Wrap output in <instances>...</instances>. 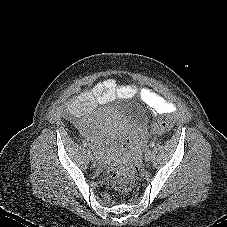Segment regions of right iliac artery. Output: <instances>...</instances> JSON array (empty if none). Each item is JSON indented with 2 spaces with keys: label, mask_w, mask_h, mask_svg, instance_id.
<instances>
[{
  "label": "right iliac artery",
  "mask_w": 227,
  "mask_h": 227,
  "mask_svg": "<svg viewBox=\"0 0 227 227\" xmlns=\"http://www.w3.org/2000/svg\"><path fill=\"white\" fill-rule=\"evenodd\" d=\"M83 145H84V147H86L87 146V143L85 141H83Z\"/></svg>",
  "instance_id": "right-iliac-artery-1"
}]
</instances>
